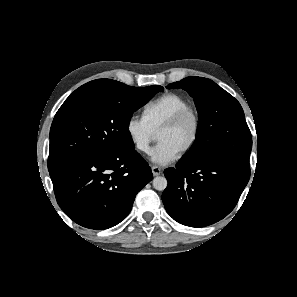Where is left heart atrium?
<instances>
[{
    "label": "left heart atrium",
    "instance_id": "1",
    "mask_svg": "<svg viewBox=\"0 0 297 297\" xmlns=\"http://www.w3.org/2000/svg\"><path fill=\"white\" fill-rule=\"evenodd\" d=\"M179 152L166 142H159L151 152V161L158 165H168L176 160Z\"/></svg>",
    "mask_w": 297,
    "mask_h": 297
}]
</instances>
